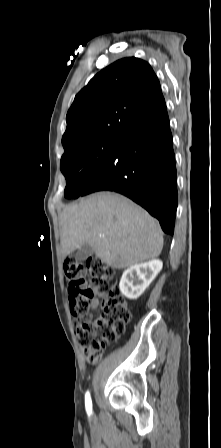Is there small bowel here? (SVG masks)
<instances>
[{"mask_svg": "<svg viewBox=\"0 0 221 448\" xmlns=\"http://www.w3.org/2000/svg\"><path fill=\"white\" fill-rule=\"evenodd\" d=\"M98 306H99V299L96 298L92 303V309H96Z\"/></svg>", "mask_w": 221, "mask_h": 448, "instance_id": "c3829d8e", "label": "small bowel"}]
</instances>
